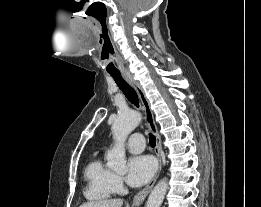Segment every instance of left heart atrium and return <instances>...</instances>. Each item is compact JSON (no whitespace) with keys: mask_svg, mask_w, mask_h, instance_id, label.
<instances>
[{"mask_svg":"<svg viewBox=\"0 0 261 207\" xmlns=\"http://www.w3.org/2000/svg\"><path fill=\"white\" fill-rule=\"evenodd\" d=\"M156 170V163L151 156H134L128 161L127 182L134 187L147 183Z\"/></svg>","mask_w":261,"mask_h":207,"instance_id":"left-heart-atrium-1","label":"left heart atrium"}]
</instances>
